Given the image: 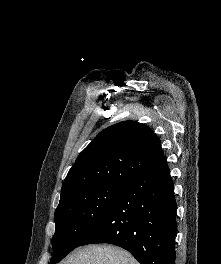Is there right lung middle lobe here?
I'll return each mask as SVG.
<instances>
[{
  "instance_id": "obj_1",
  "label": "right lung middle lobe",
  "mask_w": 221,
  "mask_h": 264,
  "mask_svg": "<svg viewBox=\"0 0 221 264\" xmlns=\"http://www.w3.org/2000/svg\"><path fill=\"white\" fill-rule=\"evenodd\" d=\"M124 183H104L78 191L62 201L55 210L53 256L56 264L78 247L109 213L125 189Z\"/></svg>"
}]
</instances>
